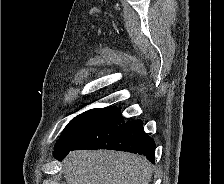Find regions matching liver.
I'll use <instances>...</instances> for the list:
<instances>
[{
	"instance_id": "liver-1",
	"label": "liver",
	"mask_w": 224,
	"mask_h": 184,
	"mask_svg": "<svg viewBox=\"0 0 224 184\" xmlns=\"http://www.w3.org/2000/svg\"><path fill=\"white\" fill-rule=\"evenodd\" d=\"M66 184H149L152 166L125 152L77 150L63 161Z\"/></svg>"
}]
</instances>
